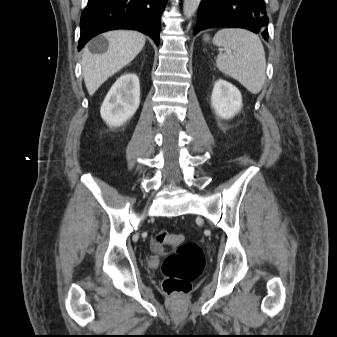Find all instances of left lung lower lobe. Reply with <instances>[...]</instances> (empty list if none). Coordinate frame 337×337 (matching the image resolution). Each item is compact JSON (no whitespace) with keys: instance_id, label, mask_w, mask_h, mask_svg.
Listing matches in <instances>:
<instances>
[{"instance_id":"left-lung-lower-lobe-1","label":"left lung lower lobe","mask_w":337,"mask_h":337,"mask_svg":"<svg viewBox=\"0 0 337 337\" xmlns=\"http://www.w3.org/2000/svg\"><path fill=\"white\" fill-rule=\"evenodd\" d=\"M263 0H202L194 33L207 28L238 27L258 33L268 39V17Z\"/></svg>"}]
</instances>
